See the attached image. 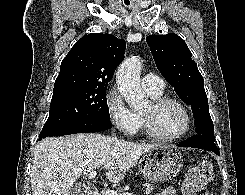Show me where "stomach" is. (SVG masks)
<instances>
[{
  "label": "stomach",
  "instance_id": "stomach-1",
  "mask_svg": "<svg viewBox=\"0 0 245 195\" xmlns=\"http://www.w3.org/2000/svg\"><path fill=\"white\" fill-rule=\"evenodd\" d=\"M183 167L182 154L171 146H158L139 160V171L143 178L152 182L171 180Z\"/></svg>",
  "mask_w": 245,
  "mask_h": 195
}]
</instances>
